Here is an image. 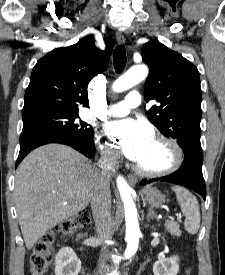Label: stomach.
<instances>
[{
    "mask_svg": "<svg viewBox=\"0 0 225 275\" xmlns=\"http://www.w3.org/2000/svg\"><path fill=\"white\" fill-rule=\"evenodd\" d=\"M145 198L151 207L154 208H159L165 202V197L156 188H148Z\"/></svg>",
    "mask_w": 225,
    "mask_h": 275,
    "instance_id": "obj_1",
    "label": "stomach"
}]
</instances>
